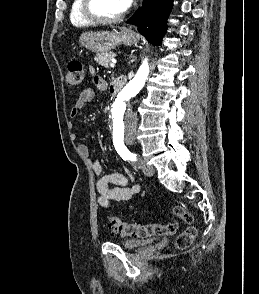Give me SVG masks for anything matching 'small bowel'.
Wrapping results in <instances>:
<instances>
[{
	"label": "small bowel",
	"instance_id": "obj_1",
	"mask_svg": "<svg viewBox=\"0 0 259 294\" xmlns=\"http://www.w3.org/2000/svg\"><path fill=\"white\" fill-rule=\"evenodd\" d=\"M93 82L99 91L107 90V82L100 76L96 75L94 69H91ZM94 98V91L91 88L83 89L76 99L71 116L74 118L78 115L85 104L91 102ZM75 138L76 135L73 134ZM78 151L85 157L90 159V164L93 171L100 176L97 181L96 188L99 194L98 204L101 207H109L112 201H127L134 195L139 193L140 187L138 185H131L132 174L128 169L123 172H113L109 174L103 173V166L97 159H91V152L87 145L79 144ZM113 185V187H110Z\"/></svg>",
	"mask_w": 259,
	"mask_h": 294
}]
</instances>
